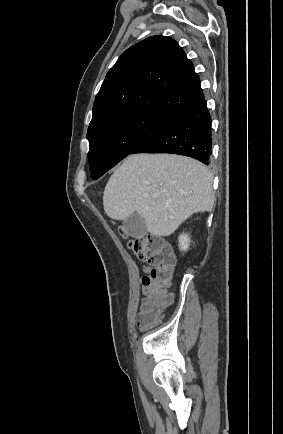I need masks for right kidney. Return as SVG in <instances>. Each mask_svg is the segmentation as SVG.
Instances as JSON below:
<instances>
[{
	"label": "right kidney",
	"instance_id": "right-kidney-1",
	"mask_svg": "<svg viewBox=\"0 0 283 434\" xmlns=\"http://www.w3.org/2000/svg\"><path fill=\"white\" fill-rule=\"evenodd\" d=\"M190 237L188 234H182L179 237V247L181 250L186 251L189 248L190 245Z\"/></svg>",
	"mask_w": 283,
	"mask_h": 434
}]
</instances>
